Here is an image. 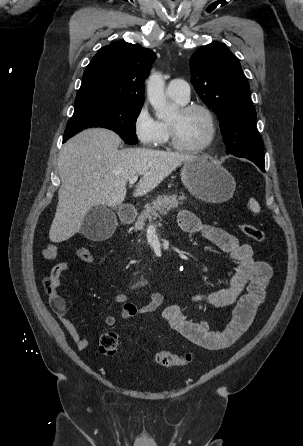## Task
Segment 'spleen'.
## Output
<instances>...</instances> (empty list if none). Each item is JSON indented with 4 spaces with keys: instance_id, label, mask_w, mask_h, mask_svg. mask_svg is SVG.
Here are the masks:
<instances>
[{
    "instance_id": "3e777b00",
    "label": "spleen",
    "mask_w": 303,
    "mask_h": 446,
    "mask_svg": "<svg viewBox=\"0 0 303 446\" xmlns=\"http://www.w3.org/2000/svg\"><path fill=\"white\" fill-rule=\"evenodd\" d=\"M248 205L252 212H254V213L260 212V205L254 198H250Z\"/></svg>"
}]
</instances>
